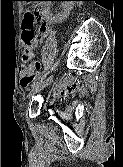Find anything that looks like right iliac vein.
<instances>
[{
  "mask_svg": "<svg viewBox=\"0 0 123 167\" xmlns=\"http://www.w3.org/2000/svg\"><path fill=\"white\" fill-rule=\"evenodd\" d=\"M52 81V77H49L47 79L42 80L40 83H38L37 85H35V87L33 88V90L30 92L29 94V98L35 94L36 92L42 90L43 88H45L46 86H48Z\"/></svg>",
  "mask_w": 123,
  "mask_h": 167,
  "instance_id": "63e3f726",
  "label": "right iliac vein"
}]
</instances>
